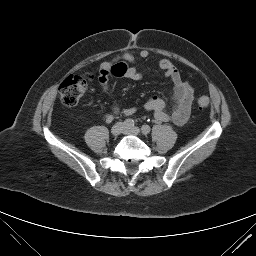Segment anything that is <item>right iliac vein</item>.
Returning a JSON list of instances; mask_svg holds the SVG:
<instances>
[{
  "label": "right iliac vein",
  "mask_w": 256,
  "mask_h": 256,
  "mask_svg": "<svg viewBox=\"0 0 256 256\" xmlns=\"http://www.w3.org/2000/svg\"><path fill=\"white\" fill-rule=\"evenodd\" d=\"M124 129H125L124 123L118 122V123H116V124L112 127L111 133H112V135H114V136H118V135H120L121 133H123Z\"/></svg>",
  "instance_id": "63e3f726"
}]
</instances>
